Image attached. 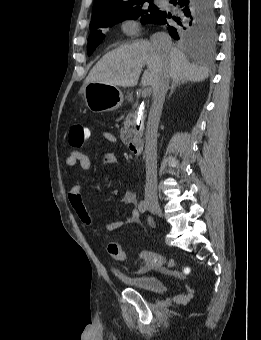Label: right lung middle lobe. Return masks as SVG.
<instances>
[{
  "instance_id": "right-lung-middle-lobe-1",
  "label": "right lung middle lobe",
  "mask_w": 261,
  "mask_h": 340,
  "mask_svg": "<svg viewBox=\"0 0 261 340\" xmlns=\"http://www.w3.org/2000/svg\"><path fill=\"white\" fill-rule=\"evenodd\" d=\"M146 2L149 3V6L145 4ZM159 12L160 9L153 4V0H143L120 9L114 15L91 22L88 55H91L105 37L101 28L113 26L127 19L141 18L143 24L151 23ZM173 24L177 40H213L215 38L216 19L214 13H201L197 8H194L185 17Z\"/></svg>"
}]
</instances>
